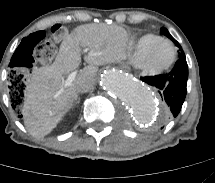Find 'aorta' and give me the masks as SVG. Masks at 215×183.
Returning <instances> with one entry per match:
<instances>
[{
    "label": "aorta",
    "mask_w": 215,
    "mask_h": 183,
    "mask_svg": "<svg viewBox=\"0 0 215 183\" xmlns=\"http://www.w3.org/2000/svg\"><path fill=\"white\" fill-rule=\"evenodd\" d=\"M99 81L104 92L132 110L139 123L154 125L163 119L164 109L152 92L129 74L107 69Z\"/></svg>",
    "instance_id": "aorta-1"
}]
</instances>
